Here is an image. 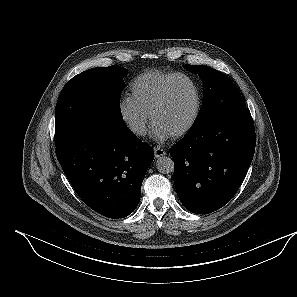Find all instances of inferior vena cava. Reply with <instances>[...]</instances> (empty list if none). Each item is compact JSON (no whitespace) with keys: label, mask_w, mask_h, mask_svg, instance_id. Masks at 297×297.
<instances>
[{"label":"inferior vena cava","mask_w":297,"mask_h":297,"mask_svg":"<svg viewBox=\"0 0 297 297\" xmlns=\"http://www.w3.org/2000/svg\"><path fill=\"white\" fill-rule=\"evenodd\" d=\"M130 130L133 133H136L138 135H145L146 134V126H145L144 122H141V121L132 122L130 124Z\"/></svg>","instance_id":"obj_1"}]
</instances>
